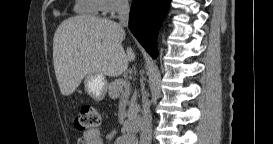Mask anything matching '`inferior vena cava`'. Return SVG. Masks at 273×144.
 Returning a JSON list of instances; mask_svg holds the SVG:
<instances>
[{"instance_id":"1","label":"inferior vena cava","mask_w":273,"mask_h":144,"mask_svg":"<svg viewBox=\"0 0 273 144\" xmlns=\"http://www.w3.org/2000/svg\"><path fill=\"white\" fill-rule=\"evenodd\" d=\"M116 10L122 27L127 26L129 22V2L128 0H116ZM142 121L140 127V144H151L152 140V116L150 112V102L147 94L142 96Z\"/></svg>"}]
</instances>
